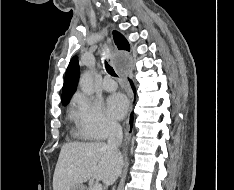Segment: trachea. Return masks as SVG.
<instances>
[{
	"label": "trachea",
	"mask_w": 234,
	"mask_h": 190,
	"mask_svg": "<svg viewBox=\"0 0 234 190\" xmlns=\"http://www.w3.org/2000/svg\"><path fill=\"white\" fill-rule=\"evenodd\" d=\"M105 68L107 70V72L114 77H117V74L115 73L114 69L112 66L109 65V63L107 61H105Z\"/></svg>",
	"instance_id": "1"
}]
</instances>
